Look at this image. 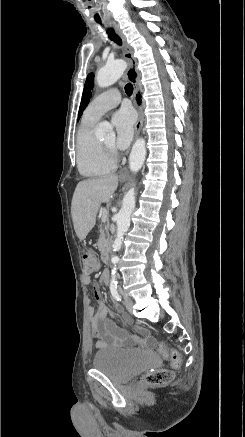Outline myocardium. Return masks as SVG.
<instances>
[{"label": "myocardium", "mask_w": 245, "mask_h": 437, "mask_svg": "<svg viewBox=\"0 0 245 437\" xmlns=\"http://www.w3.org/2000/svg\"><path fill=\"white\" fill-rule=\"evenodd\" d=\"M100 145L103 149V151L109 156V157H113L114 155V151L113 148L110 146H107L106 144H104L103 142H100Z\"/></svg>", "instance_id": "myocardium-1"}]
</instances>
